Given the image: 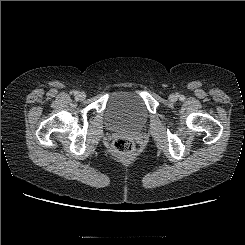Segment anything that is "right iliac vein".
Here are the masks:
<instances>
[{"label":"right iliac vein","instance_id":"1","mask_svg":"<svg viewBox=\"0 0 245 245\" xmlns=\"http://www.w3.org/2000/svg\"><path fill=\"white\" fill-rule=\"evenodd\" d=\"M78 98H79L80 100L85 99V98H86L85 92H79V93H78Z\"/></svg>","mask_w":245,"mask_h":245}]
</instances>
